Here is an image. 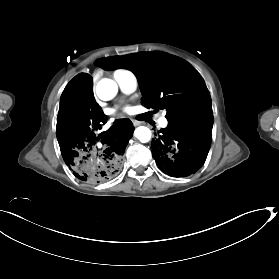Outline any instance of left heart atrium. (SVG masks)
<instances>
[{"instance_id": "left-heart-atrium-1", "label": "left heart atrium", "mask_w": 279, "mask_h": 279, "mask_svg": "<svg viewBox=\"0 0 279 279\" xmlns=\"http://www.w3.org/2000/svg\"><path fill=\"white\" fill-rule=\"evenodd\" d=\"M123 113L126 115H131L134 113V108L132 106H126L123 109Z\"/></svg>"}]
</instances>
